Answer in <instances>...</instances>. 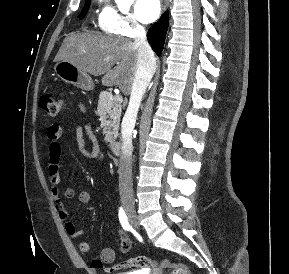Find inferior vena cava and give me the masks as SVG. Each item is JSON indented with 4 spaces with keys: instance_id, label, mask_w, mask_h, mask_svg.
Returning <instances> with one entry per match:
<instances>
[{
    "instance_id": "obj_1",
    "label": "inferior vena cava",
    "mask_w": 289,
    "mask_h": 274,
    "mask_svg": "<svg viewBox=\"0 0 289 274\" xmlns=\"http://www.w3.org/2000/svg\"><path fill=\"white\" fill-rule=\"evenodd\" d=\"M134 44L138 47L137 68L132 84L130 101L123 117L121 130V153L119 159L120 195L133 192L132 184V131L143 95L150 84L156 68L154 52L148 44L144 27H137Z\"/></svg>"
}]
</instances>
